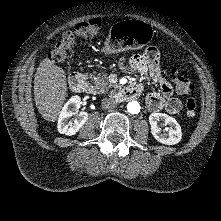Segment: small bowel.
I'll use <instances>...</instances> for the list:
<instances>
[{"label":"small bowel","mask_w":221,"mask_h":221,"mask_svg":"<svg viewBox=\"0 0 221 221\" xmlns=\"http://www.w3.org/2000/svg\"><path fill=\"white\" fill-rule=\"evenodd\" d=\"M151 48L153 47L147 48L143 54H135L128 58L122 57L119 60V66L127 73L138 71L159 87L158 90H152L148 93L147 106L150 110L165 109L170 114H177L182 108L181 101L174 96L170 84L158 66L146 54Z\"/></svg>","instance_id":"c3829d8e"}]
</instances>
